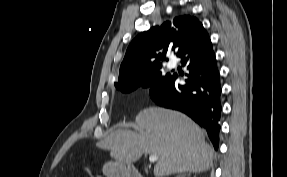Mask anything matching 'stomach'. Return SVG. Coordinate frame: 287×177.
I'll list each match as a JSON object with an SVG mask.
<instances>
[{
    "label": "stomach",
    "mask_w": 287,
    "mask_h": 177,
    "mask_svg": "<svg viewBox=\"0 0 287 177\" xmlns=\"http://www.w3.org/2000/svg\"><path fill=\"white\" fill-rule=\"evenodd\" d=\"M135 169L131 165L120 162L110 161L103 166V173L106 177H131L135 173Z\"/></svg>",
    "instance_id": "obj_1"
}]
</instances>
